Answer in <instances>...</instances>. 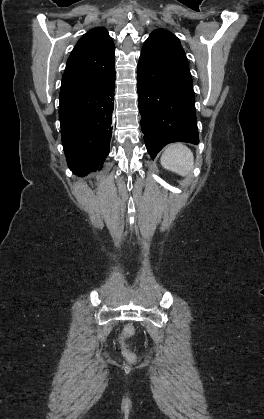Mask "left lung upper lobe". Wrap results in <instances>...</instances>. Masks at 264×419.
Returning <instances> with one entry per match:
<instances>
[{
    "label": "left lung upper lobe",
    "instance_id": "obj_1",
    "mask_svg": "<svg viewBox=\"0 0 264 419\" xmlns=\"http://www.w3.org/2000/svg\"><path fill=\"white\" fill-rule=\"evenodd\" d=\"M152 34H161V35H169V36H171L174 39V41H175L176 45L178 46V48L182 52H184V50L180 46L179 39L175 35H173L172 33L168 32V31H165V30L159 29V30H156V31L152 32Z\"/></svg>",
    "mask_w": 264,
    "mask_h": 419
}]
</instances>
